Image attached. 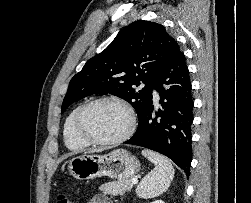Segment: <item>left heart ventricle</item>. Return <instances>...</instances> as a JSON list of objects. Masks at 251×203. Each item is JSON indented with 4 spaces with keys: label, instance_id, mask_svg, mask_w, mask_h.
I'll return each mask as SVG.
<instances>
[{
    "label": "left heart ventricle",
    "instance_id": "obj_1",
    "mask_svg": "<svg viewBox=\"0 0 251 203\" xmlns=\"http://www.w3.org/2000/svg\"><path fill=\"white\" fill-rule=\"evenodd\" d=\"M128 123V115L121 106L104 102L95 104L87 110L82 128L92 138L109 140L123 134Z\"/></svg>",
    "mask_w": 251,
    "mask_h": 203
}]
</instances>
